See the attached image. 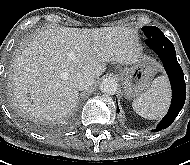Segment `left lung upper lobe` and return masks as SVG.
Returning a JSON list of instances; mask_svg holds the SVG:
<instances>
[{"label":"left lung upper lobe","instance_id":"1","mask_svg":"<svg viewBox=\"0 0 190 165\" xmlns=\"http://www.w3.org/2000/svg\"><path fill=\"white\" fill-rule=\"evenodd\" d=\"M148 39H153L158 36H164L163 32L155 26L142 27L141 29Z\"/></svg>","mask_w":190,"mask_h":165}]
</instances>
